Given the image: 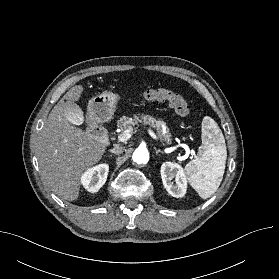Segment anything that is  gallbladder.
<instances>
[{"label": "gallbladder", "instance_id": "obj_1", "mask_svg": "<svg viewBox=\"0 0 279 279\" xmlns=\"http://www.w3.org/2000/svg\"><path fill=\"white\" fill-rule=\"evenodd\" d=\"M66 110L68 112V119L76 125H80L83 123V114L79 108V106L71 101L66 102Z\"/></svg>", "mask_w": 279, "mask_h": 279}]
</instances>
